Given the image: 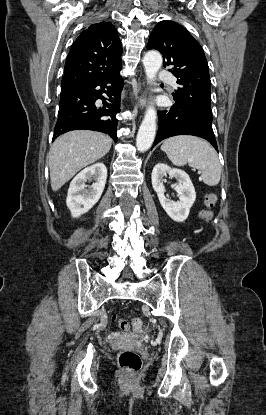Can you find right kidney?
Here are the masks:
<instances>
[{
    "label": "right kidney",
    "mask_w": 266,
    "mask_h": 415,
    "mask_svg": "<svg viewBox=\"0 0 266 415\" xmlns=\"http://www.w3.org/2000/svg\"><path fill=\"white\" fill-rule=\"evenodd\" d=\"M94 179L89 189L86 182ZM107 179V168L96 163L82 170L70 183L66 204L74 218L88 212L100 199Z\"/></svg>",
    "instance_id": "1"
}]
</instances>
